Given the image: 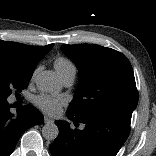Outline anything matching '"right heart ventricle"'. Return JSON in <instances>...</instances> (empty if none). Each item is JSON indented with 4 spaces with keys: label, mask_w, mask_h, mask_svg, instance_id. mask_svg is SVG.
<instances>
[{
    "label": "right heart ventricle",
    "mask_w": 156,
    "mask_h": 156,
    "mask_svg": "<svg viewBox=\"0 0 156 156\" xmlns=\"http://www.w3.org/2000/svg\"><path fill=\"white\" fill-rule=\"evenodd\" d=\"M54 66L61 78L72 70L76 71L74 64L64 57L57 58L54 62Z\"/></svg>",
    "instance_id": "obj_1"
}]
</instances>
